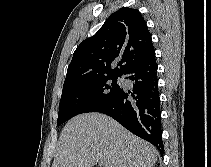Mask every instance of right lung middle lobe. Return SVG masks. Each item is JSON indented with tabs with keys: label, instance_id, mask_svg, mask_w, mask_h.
I'll return each mask as SVG.
<instances>
[{
	"label": "right lung middle lobe",
	"instance_id": "obj_1",
	"mask_svg": "<svg viewBox=\"0 0 211 167\" xmlns=\"http://www.w3.org/2000/svg\"><path fill=\"white\" fill-rule=\"evenodd\" d=\"M119 77L104 76L64 86L57 125L78 114L96 112L108 105L123 90L117 83Z\"/></svg>",
	"mask_w": 211,
	"mask_h": 167
}]
</instances>
